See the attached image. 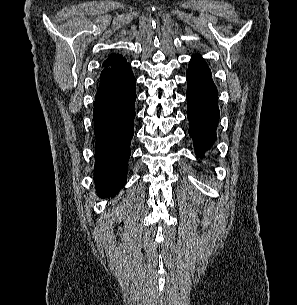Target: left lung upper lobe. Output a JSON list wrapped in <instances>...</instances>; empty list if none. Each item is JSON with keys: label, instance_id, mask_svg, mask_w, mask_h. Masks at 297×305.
<instances>
[{"label": "left lung upper lobe", "instance_id": "1", "mask_svg": "<svg viewBox=\"0 0 297 305\" xmlns=\"http://www.w3.org/2000/svg\"><path fill=\"white\" fill-rule=\"evenodd\" d=\"M190 64L193 65V64H196V65H201V64H206L204 59H202L200 57V55L196 54V55H193L192 56V59L190 61Z\"/></svg>", "mask_w": 297, "mask_h": 305}]
</instances>
